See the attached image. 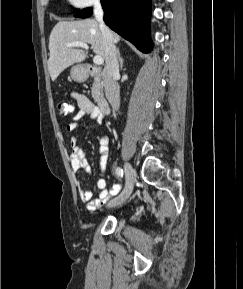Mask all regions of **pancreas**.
Here are the masks:
<instances>
[{"mask_svg": "<svg viewBox=\"0 0 243 289\" xmlns=\"http://www.w3.org/2000/svg\"><path fill=\"white\" fill-rule=\"evenodd\" d=\"M103 82L100 76L94 77L91 93L94 101L98 102L102 98Z\"/></svg>", "mask_w": 243, "mask_h": 289, "instance_id": "obj_1", "label": "pancreas"}]
</instances>
